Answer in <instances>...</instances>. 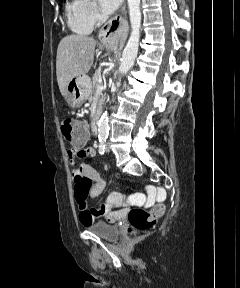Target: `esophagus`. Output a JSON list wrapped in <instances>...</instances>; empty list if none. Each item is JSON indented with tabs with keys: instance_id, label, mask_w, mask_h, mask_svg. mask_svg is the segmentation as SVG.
Masks as SVG:
<instances>
[{
	"instance_id": "esophagus-1",
	"label": "esophagus",
	"mask_w": 240,
	"mask_h": 288,
	"mask_svg": "<svg viewBox=\"0 0 240 288\" xmlns=\"http://www.w3.org/2000/svg\"><path fill=\"white\" fill-rule=\"evenodd\" d=\"M127 31V10L126 3H124L120 12L102 27L99 32V39L108 46H123L127 38Z\"/></svg>"
}]
</instances>
